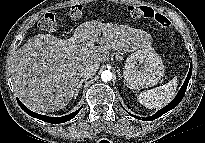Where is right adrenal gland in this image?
Instances as JSON below:
<instances>
[{"label": "right adrenal gland", "mask_w": 205, "mask_h": 143, "mask_svg": "<svg viewBox=\"0 0 205 143\" xmlns=\"http://www.w3.org/2000/svg\"><path fill=\"white\" fill-rule=\"evenodd\" d=\"M86 80H87V79H82V80L80 81L79 86H78V89H77V91H76V93H75V95H74V99H76V97L78 96V93H79V91H80V89H81V87H82V84H83Z\"/></svg>", "instance_id": "2a0ac1e0"}]
</instances>
